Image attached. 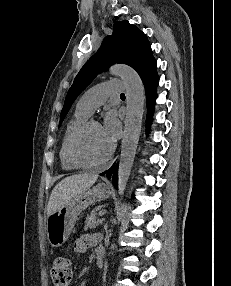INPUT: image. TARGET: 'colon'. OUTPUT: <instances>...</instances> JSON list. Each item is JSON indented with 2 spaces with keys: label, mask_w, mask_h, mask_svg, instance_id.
<instances>
[{
  "label": "colon",
  "mask_w": 231,
  "mask_h": 286,
  "mask_svg": "<svg viewBox=\"0 0 231 286\" xmlns=\"http://www.w3.org/2000/svg\"><path fill=\"white\" fill-rule=\"evenodd\" d=\"M51 278L54 286H69L72 278V267L68 258L59 256L54 260Z\"/></svg>",
  "instance_id": "5ec220e1"
}]
</instances>
